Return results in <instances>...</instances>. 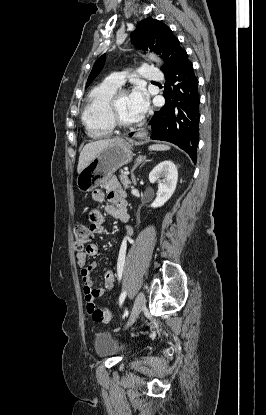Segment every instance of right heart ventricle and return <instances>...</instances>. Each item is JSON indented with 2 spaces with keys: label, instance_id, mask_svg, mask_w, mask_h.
Here are the masks:
<instances>
[{
  "label": "right heart ventricle",
  "instance_id": "obj_1",
  "mask_svg": "<svg viewBox=\"0 0 266 415\" xmlns=\"http://www.w3.org/2000/svg\"><path fill=\"white\" fill-rule=\"evenodd\" d=\"M118 87L106 82L91 90L82 112V122L89 136L103 138L115 129L109 116V100Z\"/></svg>",
  "mask_w": 266,
  "mask_h": 415
}]
</instances>
